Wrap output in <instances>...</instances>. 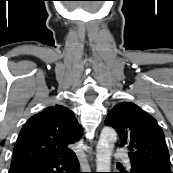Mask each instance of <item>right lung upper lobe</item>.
I'll use <instances>...</instances> for the list:
<instances>
[{
	"instance_id": "right-lung-upper-lobe-1",
	"label": "right lung upper lobe",
	"mask_w": 173,
	"mask_h": 173,
	"mask_svg": "<svg viewBox=\"0 0 173 173\" xmlns=\"http://www.w3.org/2000/svg\"><path fill=\"white\" fill-rule=\"evenodd\" d=\"M80 131L71 110L62 105L47 107L22 127L11 166L66 156L72 152L69 145L80 139Z\"/></svg>"
}]
</instances>
